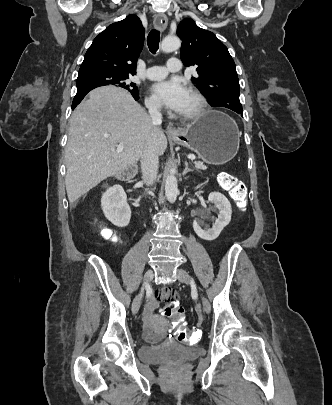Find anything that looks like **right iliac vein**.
Returning a JSON list of instances; mask_svg holds the SVG:
<instances>
[{
	"label": "right iliac vein",
	"mask_w": 332,
	"mask_h": 405,
	"mask_svg": "<svg viewBox=\"0 0 332 405\" xmlns=\"http://www.w3.org/2000/svg\"><path fill=\"white\" fill-rule=\"evenodd\" d=\"M153 275H154V272L151 269L146 272L144 279H143V288L147 287L148 283L153 278ZM141 298H142V291L140 293H138L133 300L132 307H131L133 314H136L138 312L140 305H141Z\"/></svg>",
	"instance_id": "1"
}]
</instances>
